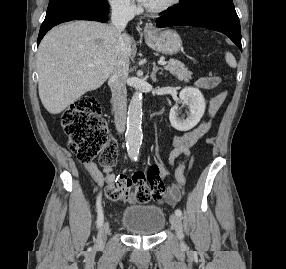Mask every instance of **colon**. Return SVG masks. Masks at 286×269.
I'll use <instances>...</instances> for the list:
<instances>
[{"mask_svg": "<svg viewBox=\"0 0 286 269\" xmlns=\"http://www.w3.org/2000/svg\"><path fill=\"white\" fill-rule=\"evenodd\" d=\"M197 81V88H204V91H219L222 88V80L218 77L198 78ZM225 97L224 91L212 95V100H206L204 110H219ZM61 123L69 137L70 151L79 161L87 163L99 156L102 167H113L116 164L117 143L109 136L95 96L86 95L74 101L64 111ZM163 168L164 163H149L146 173H136L131 177L118 175L106 189L107 198L118 201L130 194L139 202L161 198L165 194Z\"/></svg>", "mask_w": 286, "mask_h": 269, "instance_id": "1", "label": "colon"}]
</instances>
